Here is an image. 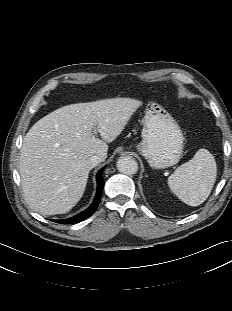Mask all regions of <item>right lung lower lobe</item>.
<instances>
[{
	"instance_id": "right-lung-lower-lobe-1",
	"label": "right lung lower lobe",
	"mask_w": 232,
	"mask_h": 311,
	"mask_svg": "<svg viewBox=\"0 0 232 311\" xmlns=\"http://www.w3.org/2000/svg\"><path fill=\"white\" fill-rule=\"evenodd\" d=\"M103 170H104V168H102L100 170V172L97 174V192H96V195H95V198H94L92 205L89 208H87L85 211L77 214L76 216H73V217L68 218V219H63V220H55V222L62 223V224L78 223L80 221L87 219L88 217H90L95 212V210H96V208L100 202L102 191H103V186H104V181L102 178Z\"/></svg>"
}]
</instances>
